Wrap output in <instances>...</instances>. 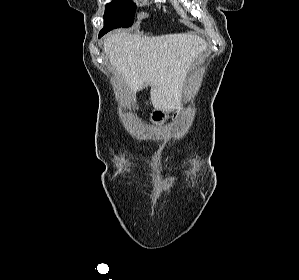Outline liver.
Returning <instances> with one entry per match:
<instances>
[{
	"label": "liver",
	"mask_w": 299,
	"mask_h": 280,
	"mask_svg": "<svg viewBox=\"0 0 299 280\" xmlns=\"http://www.w3.org/2000/svg\"><path fill=\"white\" fill-rule=\"evenodd\" d=\"M206 49L202 38L190 34L148 37L115 33L103 43L104 53L128 85L133 99L138 90L150 85L153 107L164 112L180 108L187 72Z\"/></svg>",
	"instance_id": "1"
}]
</instances>
